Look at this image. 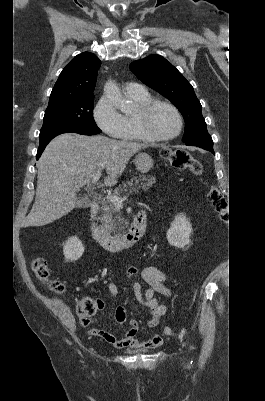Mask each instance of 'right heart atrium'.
<instances>
[{"label":"right heart atrium","instance_id":"obj_1","mask_svg":"<svg viewBox=\"0 0 265 401\" xmlns=\"http://www.w3.org/2000/svg\"><path fill=\"white\" fill-rule=\"evenodd\" d=\"M93 119L101 130L110 135L118 136L124 126L123 117L114 102L106 95L97 101L93 109Z\"/></svg>","mask_w":265,"mask_h":401}]
</instances>
